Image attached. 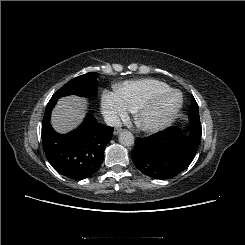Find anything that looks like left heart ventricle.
<instances>
[{"instance_id":"left-heart-ventricle-1","label":"left heart ventricle","mask_w":245,"mask_h":245,"mask_svg":"<svg viewBox=\"0 0 245 245\" xmlns=\"http://www.w3.org/2000/svg\"><path fill=\"white\" fill-rule=\"evenodd\" d=\"M179 100L180 97L178 94H174L162 100L145 114V119L151 121L167 114L178 104Z\"/></svg>"}]
</instances>
